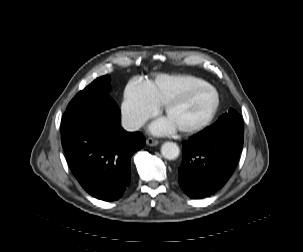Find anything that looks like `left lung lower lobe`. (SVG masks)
Listing matches in <instances>:
<instances>
[{
    "label": "left lung lower lobe",
    "instance_id": "obj_1",
    "mask_svg": "<svg viewBox=\"0 0 303 252\" xmlns=\"http://www.w3.org/2000/svg\"><path fill=\"white\" fill-rule=\"evenodd\" d=\"M243 133H206L193 135L182 143V163L178 180L191 198L209 196L232 175L242 150Z\"/></svg>",
    "mask_w": 303,
    "mask_h": 252
}]
</instances>
